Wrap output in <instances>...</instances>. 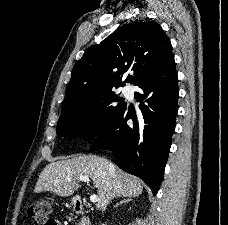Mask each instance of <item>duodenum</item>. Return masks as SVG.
Returning <instances> with one entry per match:
<instances>
[{"mask_svg": "<svg viewBox=\"0 0 228 225\" xmlns=\"http://www.w3.org/2000/svg\"><path fill=\"white\" fill-rule=\"evenodd\" d=\"M72 207L78 214H83L85 212V206L80 198H74L72 200Z\"/></svg>", "mask_w": 228, "mask_h": 225, "instance_id": "obj_1", "label": "duodenum"}]
</instances>
